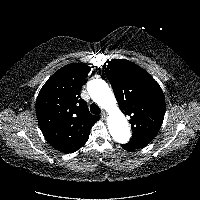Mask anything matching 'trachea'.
Segmentation results:
<instances>
[{"label":"trachea","mask_w":200,"mask_h":200,"mask_svg":"<svg viewBox=\"0 0 200 200\" xmlns=\"http://www.w3.org/2000/svg\"><path fill=\"white\" fill-rule=\"evenodd\" d=\"M90 111H91V113H93L95 115H98L101 112L99 106L94 103L90 105Z\"/></svg>","instance_id":"3493384b"}]
</instances>
